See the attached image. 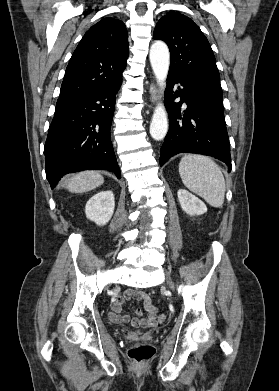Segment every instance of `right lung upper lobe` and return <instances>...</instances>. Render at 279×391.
Returning a JSON list of instances; mask_svg holds the SVG:
<instances>
[{"label": "right lung upper lobe", "instance_id": "1", "mask_svg": "<svg viewBox=\"0 0 279 391\" xmlns=\"http://www.w3.org/2000/svg\"><path fill=\"white\" fill-rule=\"evenodd\" d=\"M129 56L125 24L104 18L83 36L66 68L58 100L88 94L122 80Z\"/></svg>", "mask_w": 279, "mask_h": 391}]
</instances>
